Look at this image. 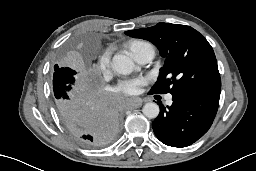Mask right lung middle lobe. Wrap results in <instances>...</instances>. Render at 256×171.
Returning a JSON list of instances; mask_svg holds the SVG:
<instances>
[{"mask_svg": "<svg viewBox=\"0 0 256 171\" xmlns=\"http://www.w3.org/2000/svg\"><path fill=\"white\" fill-rule=\"evenodd\" d=\"M77 72L70 68L69 59L61 58L55 64L52 76L53 95L57 109L73 101L85 89L77 83Z\"/></svg>", "mask_w": 256, "mask_h": 171, "instance_id": "dd1d6c3e", "label": "right lung middle lobe"}]
</instances>
